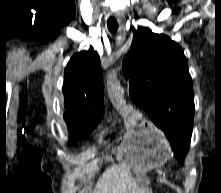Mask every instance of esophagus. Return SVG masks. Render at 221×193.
<instances>
[{"label":"esophagus","instance_id":"1","mask_svg":"<svg viewBox=\"0 0 221 193\" xmlns=\"http://www.w3.org/2000/svg\"><path fill=\"white\" fill-rule=\"evenodd\" d=\"M116 17L120 20V21H122V16L121 15H119V14H116Z\"/></svg>","mask_w":221,"mask_h":193}]
</instances>
